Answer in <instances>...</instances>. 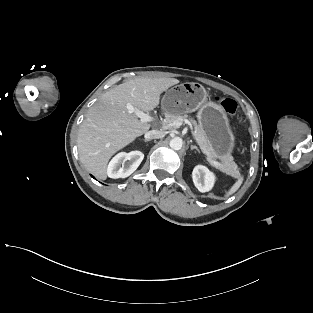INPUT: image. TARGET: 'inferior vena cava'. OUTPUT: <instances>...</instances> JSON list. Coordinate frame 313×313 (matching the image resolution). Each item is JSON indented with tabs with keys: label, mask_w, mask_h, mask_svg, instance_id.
<instances>
[{
	"label": "inferior vena cava",
	"mask_w": 313,
	"mask_h": 313,
	"mask_svg": "<svg viewBox=\"0 0 313 313\" xmlns=\"http://www.w3.org/2000/svg\"><path fill=\"white\" fill-rule=\"evenodd\" d=\"M165 136L164 131L151 130L145 133L146 140L159 139Z\"/></svg>",
	"instance_id": "1"
}]
</instances>
